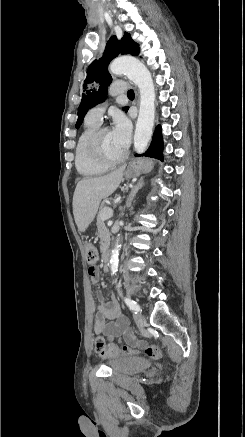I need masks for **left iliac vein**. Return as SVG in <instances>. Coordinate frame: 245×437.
Here are the masks:
<instances>
[{
    "label": "left iliac vein",
    "mask_w": 245,
    "mask_h": 437,
    "mask_svg": "<svg viewBox=\"0 0 245 437\" xmlns=\"http://www.w3.org/2000/svg\"><path fill=\"white\" fill-rule=\"evenodd\" d=\"M134 318L139 327H144L146 325V319L141 313H136Z\"/></svg>",
    "instance_id": "1"
}]
</instances>
